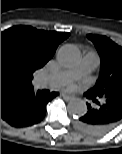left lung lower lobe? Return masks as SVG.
<instances>
[{
  "mask_svg": "<svg viewBox=\"0 0 122 154\" xmlns=\"http://www.w3.org/2000/svg\"><path fill=\"white\" fill-rule=\"evenodd\" d=\"M98 106L87 103L88 112L81 115L75 126L90 135H102L111 131L122 120V89H117L104 99L85 95Z\"/></svg>",
  "mask_w": 122,
  "mask_h": 154,
  "instance_id": "left-lung-lower-lobe-1",
  "label": "left lung lower lobe"
}]
</instances>
